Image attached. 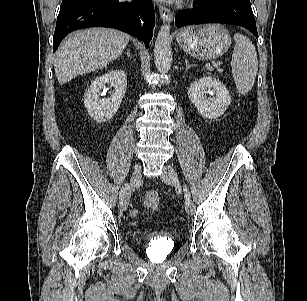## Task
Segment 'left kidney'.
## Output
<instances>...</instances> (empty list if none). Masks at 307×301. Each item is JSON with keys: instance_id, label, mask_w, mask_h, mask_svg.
Segmentation results:
<instances>
[{"instance_id": "1", "label": "left kidney", "mask_w": 307, "mask_h": 301, "mask_svg": "<svg viewBox=\"0 0 307 301\" xmlns=\"http://www.w3.org/2000/svg\"><path fill=\"white\" fill-rule=\"evenodd\" d=\"M209 93L212 97H207ZM188 97L201 116L216 119L231 103V96L225 85L218 79L204 76L193 82L188 89Z\"/></svg>"}]
</instances>
